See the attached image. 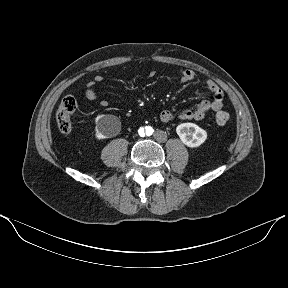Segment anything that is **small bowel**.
Listing matches in <instances>:
<instances>
[{
  "label": "small bowel",
  "instance_id": "c3829d8e",
  "mask_svg": "<svg viewBox=\"0 0 288 288\" xmlns=\"http://www.w3.org/2000/svg\"><path fill=\"white\" fill-rule=\"evenodd\" d=\"M180 81L182 83H188L195 79V73L191 69H181L179 72ZM104 81V77L101 75L95 76V78L88 83L86 88V97L89 101L97 103L101 108L108 107L109 103L106 100L98 101V96L95 92V88L98 84ZM206 90L212 95V98H204L194 108H187L174 113L170 110H164L161 112L159 119L162 123H169L175 119L180 120H202L208 111H219L223 107V92L220 87L211 79H206L203 82Z\"/></svg>",
  "mask_w": 288,
  "mask_h": 288
}]
</instances>
